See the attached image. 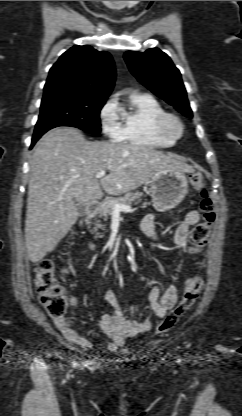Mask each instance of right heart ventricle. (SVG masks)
<instances>
[{
    "mask_svg": "<svg viewBox=\"0 0 242 416\" xmlns=\"http://www.w3.org/2000/svg\"><path fill=\"white\" fill-rule=\"evenodd\" d=\"M121 117V129L115 138L117 142L150 148H166L176 140L159 134L156 121L166 110L151 94L133 92L126 104L118 105Z\"/></svg>",
    "mask_w": 242,
    "mask_h": 416,
    "instance_id": "e07e8e85",
    "label": "right heart ventricle"
}]
</instances>
